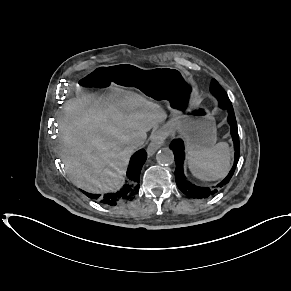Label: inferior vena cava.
I'll return each mask as SVG.
<instances>
[{
    "mask_svg": "<svg viewBox=\"0 0 291 291\" xmlns=\"http://www.w3.org/2000/svg\"><path fill=\"white\" fill-rule=\"evenodd\" d=\"M140 145H141V141L138 139H132L129 142V147L133 150L137 149Z\"/></svg>",
    "mask_w": 291,
    "mask_h": 291,
    "instance_id": "1",
    "label": "inferior vena cava"
}]
</instances>
